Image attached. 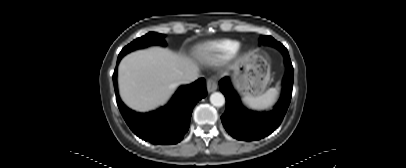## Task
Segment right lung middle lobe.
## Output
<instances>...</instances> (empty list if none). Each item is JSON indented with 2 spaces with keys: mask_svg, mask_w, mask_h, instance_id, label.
<instances>
[{
  "mask_svg": "<svg viewBox=\"0 0 406 168\" xmlns=\"http://www.w3.org/2000/svg\"><path fill=\"white\" fill-rule=\"evenodd\" d=\"M151 45H166V42L164 40V35L163 34H158L155 32H149L146 35L135 39L133 42H131L129 45L124 47L120 54L118 55V58H122L124 55L127 53L140 49V48H146Z\"/></svg>",
  "mask_w": 406,
  "mask_h": 168,
  "instance_id": "1",
  "label": "right lung middle lobe"
}]
</instances>
